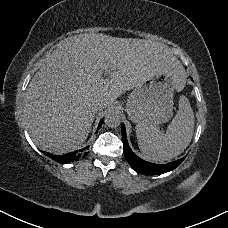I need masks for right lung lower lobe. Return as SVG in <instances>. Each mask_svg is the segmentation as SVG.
<instances>
[{
  "mask_svg": "<svg viewBox=\"0 0 228 228\" xmlns=\"http://www.w3.org/2000/svg\"><path fill=\"white\" fill-rule=\"evenodd\" d=\"M103 119L100 121L99 125H98V129L100 128V126L102 125ZM89 148V146L79 149L77 151H74L72 153H67L64 155H60V156H54L52 154L43 152L45 155H47L48 157H50L51 159L55 160L56 162L59 163H66L69 161H74L80 157H85V155L87 154V149Z\"/></svg>",
  "mask_w": 228,
  "mask_h": 228,
  "instance_id": "obj_1",
  "label": "right lung lower lobe"
}]
</instances>
